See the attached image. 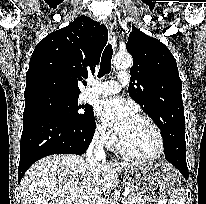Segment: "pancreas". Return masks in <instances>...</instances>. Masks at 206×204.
<instances>
[{
    "label": "pancreas",
    "instance_id": "1",
    "mask_svg": "<svg viewBox=\"0 0 206 204\" xmlns=\"http://www.w3.org/2000/svg\"><path fill=\"white\" fill-rule=\"evenodd\" d=\"M130 190L129 194L124 197L123 203L124 204H145L140 203V198L133 192L132 188L130 186L126 187Z\"/></svg>",
    "mask_w": 206,
    "mask_h": 204
}]
</instances>
